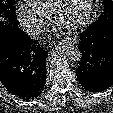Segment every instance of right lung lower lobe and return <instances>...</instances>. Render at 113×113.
Here are the masks:
<instances>
[{"instance_id": "98d812e1", "label": "right lung lower lobe", "mask_w": 113, "mask_h": 113, "mask_svg": "<svg viewBox=\"0 0 113 113\" xmlns=\"http://www.w3.org/2000/svg\"><path fill=\"white\" fill-rule=\"evenodd\" d=\"M47 51L29 38L18 25L0 35V82L16 97H38L46 80Z\"/></svg>"}]
</instances>
